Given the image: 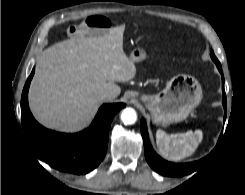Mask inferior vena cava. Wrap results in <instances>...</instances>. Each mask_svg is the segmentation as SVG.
Segmentation results:
<instances>
[{"label": "inferior vena cava", "instance_id": "1", "mask_svg": "<svg viewBox=\"0 0 245 195\" xmlns=\"http://www.w3.org/2000/svg\"><path fill=\"white\" fill-rule=\"evenodd\" d=\"M101 98L103 100H110L111 98H113V95L110 92H104L101 94Z\"/></svg>", "mask_w": 245, "mask_h": 195}]
</instances>
